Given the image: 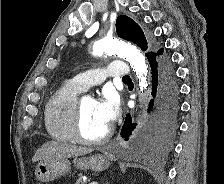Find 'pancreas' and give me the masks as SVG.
Here are the masks:
<instances>
[{"label": "pancreas", "mask_w": 224, "mask_h": 184, "mask_svg": "<svg viewBox=\"0 0 224 184\" xmlns=\"http://www.w3.org/2000/svg\"><path fill=\"white\" fill-rule=\"evenodd\" d=\"M76 184H85V182L81 178H78Z\"/></svg>", "instance_id": "obj_1"}]
</instances>
